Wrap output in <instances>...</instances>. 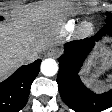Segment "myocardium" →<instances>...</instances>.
I'll use <instances>...</instances> for the list:
<instances>
[{"label":"myocardium","mask_w":112,"mask_h":112,"mask_svg":"<svg viewBox=\"0 0 112 112\" xmlns=\"http://www.w3.org/2000/svg\"><path fill=\"white\" fill-rule=\"evenodd\" d=\"M94 32V24L90 21H84L81 23L78 29V33L82 37H87Z\"/></svg>","instance_id":"obj_1"}]
</instances>
